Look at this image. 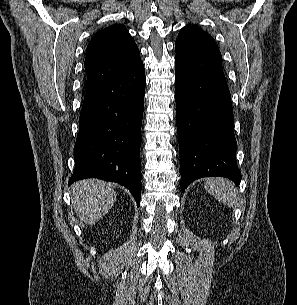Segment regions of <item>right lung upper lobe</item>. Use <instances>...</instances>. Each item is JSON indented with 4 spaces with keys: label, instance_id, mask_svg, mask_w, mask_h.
Wrapping results in <instances>:
<instances>
[{
    "label": "right lung upper lobe",
    "instance_id": "obj_1",
    "mask_svg": "<svg viewBox=\"0 0 297 305\" xmlns=\"http://www.w3.org/2000/svg\"><path fill=\"white\" fill-rule=\"evenodd\" d=\"M141 63L138 47L123 25L97 32L87 46L86 91L128 74Z\"/></svg>",
    "mask_w": 297,
    "mask_h": 305
}]
</instances>
